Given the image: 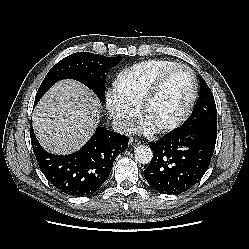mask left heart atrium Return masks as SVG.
<instances>
[{
	"label": "left heart atrium",
	"mask_w": 249,
	"mask_h": 249,
	"mask_svg": "<svg viewBox=\"0 0 249 249\" xmlns=\"http://www.w3.org/2000/svg\"><path fill=\"white\" fill-rule=\"evenodd\" d=\"M143 130L145 132H151L154 130V127L152 125H150L149 123L145 122V124L143 126Z\"/></svg>",
	"instance_id": "obj_1"
}]
</instances>
